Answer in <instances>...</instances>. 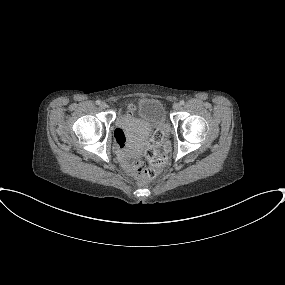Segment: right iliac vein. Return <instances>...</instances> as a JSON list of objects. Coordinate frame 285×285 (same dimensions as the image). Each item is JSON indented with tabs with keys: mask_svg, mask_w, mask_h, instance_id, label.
<instances>
[{
	"mask_svg": "<svg viewBox=\"0 0 285 285\" xmlns=\"http://www.w3.org/2000/svg\"><path fill=\"white\" fill-rule=\"evenodd\" d=\"M100 107L102 109H105V108H107V104L105 102H102V103H100Z\"/></svg>",
	"mask_w": 285,
	"mask_h": 285,
	"instance_id": "63e3f726",
	"label": "right iliac vein"
}]
</instances>
